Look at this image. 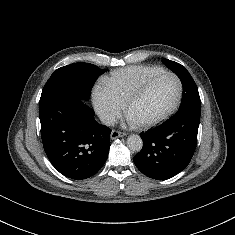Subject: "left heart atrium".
I'll return each instance as SVG.
<instances>
[{"instance_id":"obj_1","label":"left heart atrium","mask_w":235,"mask_h":235,"mask_svg":"<svg viewBox=\"0 0 235 235\" xmlns=\"http://www.w3.org/2000/svg\"><path fill=\"white\" fill-rule=\"evenodd\" d=\"M127 121H128L130 124H137V122H136L130 115H128Z\"/></svg>"}]
</instances>
